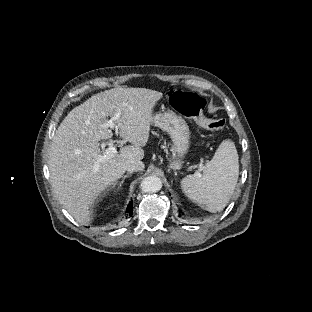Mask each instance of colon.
I'll return each mask as SVG.
<instances>
[{
  "label": "colon",
  "instance_id": "obj_1",
  "mask_svg": "<svg viewBox=\"0 0 312 312\" xmlns=\"http://www.w3.org/2000/svg\"><path fill=\"white\" fill-rule=\"evenodd\" d=\"M169 102L175 111L192 118L197 125L204 129L222 131L226 128L224 119H211L203 115L206 105L204 99L198 94L172 91L169 96Z\"/></svg>",
  "mask_w": 312,
  "mask_h": 312
}]
</instances>
